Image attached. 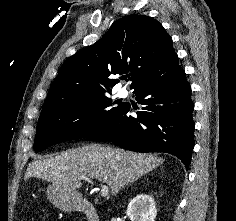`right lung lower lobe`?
<instances>
[{
    "label": "right lung lower lobe",
    "instance_id": "right-lung-lower-lobe-1",
    "mask_svg": "<svg viewBox=\"0 0 236 221\" xmlns=\"http://www.w3.org/2000/svg\"><path fill=\"white\" fill-rule=\"evenodd\" d=\"M144 105L137 118L129 103L119 110L87 141H112L137 152H166L178 157L188 168L194 147V105L191 87L178 65V57L131 87Z\"/></svg>",
    "mask_w": 236,
    "mask_h": 221
}]
</instances>
